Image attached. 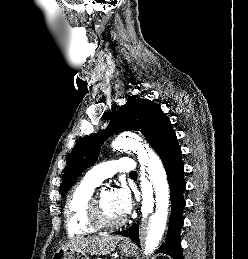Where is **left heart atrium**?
Instances as JSON below:
<instances>
[{
  "mask_svg": "<svg viewBox=\"0 0 248 259\" xmlns=\"http://www.w3.org/2000/svg\"><path fill=\"white\" fill-rule=\"evenodd\" d=\"M113 200L118 211L123 215H127L132 209V200L129 191L125 187L116 189L113 192Z\"/></svg>",
  "mask_w": 248,
  "mask_h": 259,
  "instance_id": "obj_1",
  "label": "left heart atrium"
}]
</instances>
